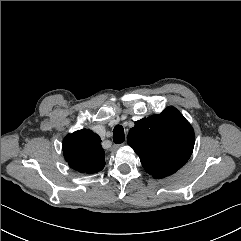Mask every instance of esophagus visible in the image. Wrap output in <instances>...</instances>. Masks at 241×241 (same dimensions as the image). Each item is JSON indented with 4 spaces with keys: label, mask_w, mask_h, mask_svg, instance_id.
Here are the masks:
<instances>
[{
    "label": "esophagus",
    "mask_w": 241,
    "mask_h": 241,
    "mask_svg": "<svg viewBox=\"0 0 241 241\" xmlns=\"http://www.w3.org/2000/svg\"><path fill=\"white\" fill-rule=\"evenodd\" d=\"M121 145H122V144H113V145L111 146V151H112V152L116 151Z\"/></svg>",
    "instance_id": "esophagus-1"
}]
</instances>
